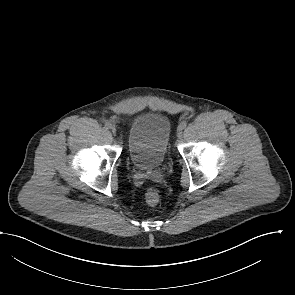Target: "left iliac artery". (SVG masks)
Here are the masks:
<instances>
[{
	"mask_svg": "<svg viewBox=\"0 0 295 295\" xmlns=\"http://www.w3.org/2000/svg\"><path fill=\"white\" fill-rule=\"evenodd\" d=\"M180 126L182 127V129H184L187 126V122L185 121L181 122Z\"/></svg>",
	"mask_w": 295,
	"mask_h": 295,
	"instance_id": "left-iliac-artery-1",
	"label": "left iliac artery"
}]
</instances>
